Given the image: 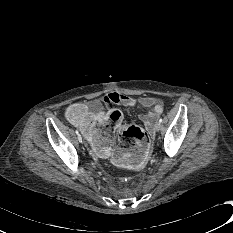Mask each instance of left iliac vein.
Masks as SVG:
<instances>
[{
	"instance_id": "4c4485c4",
	"label": "left iliac vein",
	"mask_w": 233,
	"mask_h": 233,
	"mask_svg": "<svg viewBox=\"0 0 233 233\" xmlns=\"http://www.w3.org/2000/svg\"><path fill=\"white\" fill-rule=\"evenodd\" d=\"M161 128H162V124H161L160 122H157V123L155 124V130H156V131H159V130H161Z\"/></svg>"
}]
</instances>
